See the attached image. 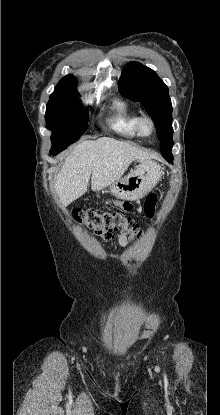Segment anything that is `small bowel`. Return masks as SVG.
Wrapping results in <instances>:
<instances>
[{
  "instance_id": "obj_1",
  "label": "small bowel",
  "mask_w": 220,
  "mask_h": 415,
  "mask_svg": "<svg viewBox=\"0 0 220 415\" xmlns=\"http://www.w3.org/2000/svg\"><path fill=\"white\" fill-rule=\"evenodd\" d=\"M96 235L102 237L106 241H114L115 239H117L119 245H121V246H126L127 245V238L123 234L118 235L117 238H115V236H113L112 234H103V235L96 234Z\"/></svg>"
}]
</instances>
